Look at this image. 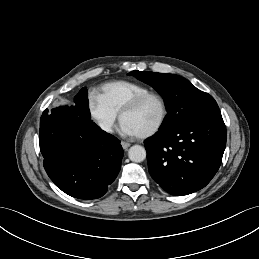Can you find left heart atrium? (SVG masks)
Returning <instances> with one entry per match:
<instances>
[{"instance_id":"obj_1","label":"left heart atrium","mask_w":259,"mask_h":259,"mask_svg":"<svg viewBox=\"0 0 259 259\" xmlns=\"http://www.w3.org/2000/svg\"><path fill=\"white\" fill-rule=\"evenodd\" d=\"M120 132L124 136L134 137L139 136L137 130L128 122L122 121L120 124Z\"/></svg>"}]
</instances>
